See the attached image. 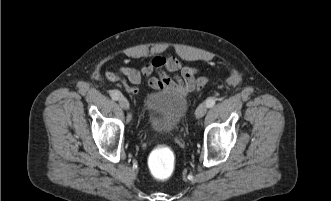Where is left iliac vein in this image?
Instances as JSON below:
<instances>
[{
    "label": "left iliac vein",
    "mask_w": 331,
    "mask_h": 201,
    "mask_svg": "<svg viewBox=\"0 0 331 201\" xmlns=\"http://www.w3.org/2000/svg\"><path fill=\"white\" fill-rule=\"evenodd\" d=\"M206 112H207V106L204 103H202L197 107L195 111V116L196 118H201L206 114Z\"/></svg>",
    "instance_id": "left-iliac-vein-1"
}]
</instances>
